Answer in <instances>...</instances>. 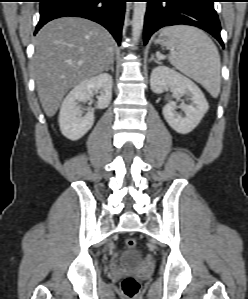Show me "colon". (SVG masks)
<instances>
[{
  "instance_id": "obj_1",
  "label": "colon",
  "mask_w": 248,
  "mask_h": 299,
  "mask_svg": "<svg viewBox=\"0 0 248 299\" xmlns=\"http://www.w3.org/2000/svg\"><path fill=\"white\" fill-rule=\"evenodd\" d=\"M125 245L127 248L132 249L137 245V240L134 237H128L125 239ZM121 288L125 296L133 297L139 290V282L132 276H127L121 281Z\"/></svg>"
}]
</instances>
